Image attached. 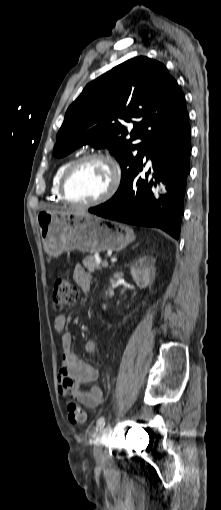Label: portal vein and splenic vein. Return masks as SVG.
<instances>
[{
  "instance_id": "portal-vein-and-splenic-vein-1",
  "label": "portal vein and splenic vein",
  "mask_w": 221,
  "mask_h": 510,
  "mask_svg": "<svg viewBox=\"0 0 221 510\" xmlns=\"http://www.w3.org/2000/svg\"><path fill=\"white\" fill-rule=\"evenodd\" d=\"M97 261L100 263V259H98ZM97 261H96V262H97ZM98 262H97V263H98ZM102 266H103V267H107V266H108V261H106V260H105V261H103V262H102Z\"/></svg>"
}]
</instances>
